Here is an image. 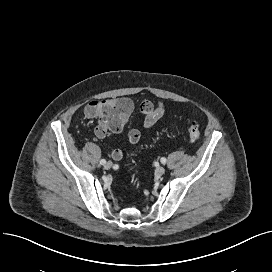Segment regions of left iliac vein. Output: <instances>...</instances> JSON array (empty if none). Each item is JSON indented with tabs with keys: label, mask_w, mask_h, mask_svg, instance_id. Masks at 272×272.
I'll use <instances>...</instances> for the list:
<instances>
[{
	"label": "left iliac vein",
	"mask_w": 272,
	"mask_h": 272,
	"mask_svg": "<svg viewBox=\"0 0 272 272\" xmlns=\"http://www.w3.org/2000/svg\"><path fill=\"white\" fill-rule=\"evenodd\" d=\"M155 173L158 175V176H161L165 173V168L163 166H157L156 169H155Z\"/></svg>",
	"instance_id": "left-iliac-vein-1"
}]
</instances>
